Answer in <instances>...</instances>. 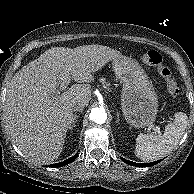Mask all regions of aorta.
<instances>
[{
	"label": "aorta",
	"mask_w": 194,
	"mask_h": 194,
	"mask_svg": "<svg viewBox=\"0 0 194 194\" xmlns=\"http://www.w3.org/2000/svg\"><path fill=\"white\" fill-rule=\"evenodd\" d=\"M90 120L96 124H103L107 120V113L103 107L93 108L90 113Z\"/></svg>",
	"instance_id": "762f6f07"
}]
</instances>
